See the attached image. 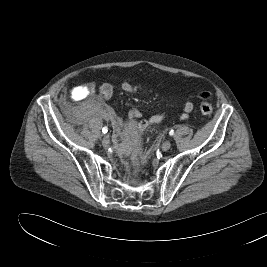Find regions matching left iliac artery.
<instances>
[{
    "label": "left iliac artery",
    "instance_id": "1",
    "mask_svg": "<svg viewBox=\"0 0 267 267\" xmlns=\"http://www.w3.org/2000/svg\"><path fill=\"white\" fill-rule=\"evenodd\" d=\"M169 135L170 136L174 135V130H170Z\"/></svg>",
    "mask_w": 267,
    "mask_h": 267
}]
</instances>
